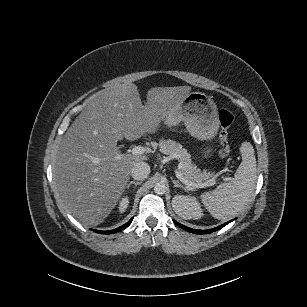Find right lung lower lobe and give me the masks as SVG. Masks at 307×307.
I'll return each mask as SVG.
<instances>
[{"label": "right lung lower lobe", "mask_w": 307, "mask_h": 307, "mask_svg": "<svg viewBox=\"0 0 307 307\" xmlns=\"http://www.w3.org/2000/svg\"><path fill=\"white\" fill-rule=\"evenodd\" d=\"M133 219V218H132ZM132 219L127 222L126 224H124L123 226L119 227V228H116L114 230H109V231H98V230H93L94 232H97V233H100V234H112V233H115V232H118L126 227H128L130 225V223L132 222Z\"/></svg>", "instance_id": "1"}]
</instances>
